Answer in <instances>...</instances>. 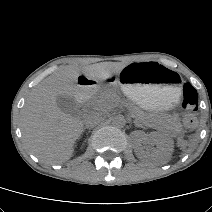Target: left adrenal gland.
<instances>
[{"label": "left adrenal gland", "instance_id": "obj_1", "mask_svg": "<svg viewBox=\"0 0 212 212\" xmlns=\"http://www.w3.org/2000/svg\"><path fill=\"white\" fill-rule=\"evenodd\" d=\"M135 126H136V127H140V125H139V124H137L136 122H135Z\"/></svg>", "mask_w": 212, "mask_h": 212}]
</instances>
